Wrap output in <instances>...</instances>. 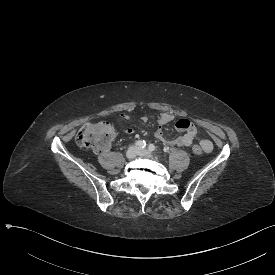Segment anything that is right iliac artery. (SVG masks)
<instances>
[{"label": "right iliac artery", "mask_w": 275, "mask_h": 275, "mask_svg": "<svg viewBox=\"0 0 275 275\" xmlns=\"http://www.w3.org/2000/svg\"><path fill=\"white\" fill-rule=\"evenodd\" d=\"M137 148L143 149L146 147V142L144 140H138L135 142Z\"/></svg>", "instance_id": "right-iliac-artery-1"}]
</instances>
